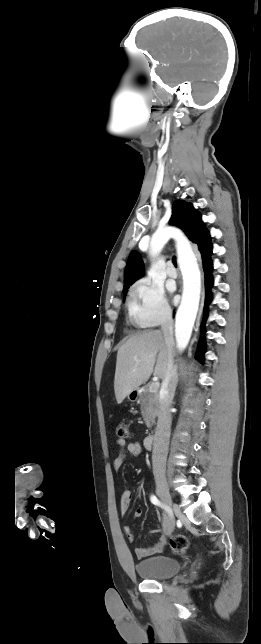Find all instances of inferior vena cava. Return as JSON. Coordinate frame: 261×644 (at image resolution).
I'll return each instance as SVG.
<instances>
[{
  "instance_id": "602c4592",
  "label": "inferior vena cava",
  "mask_w": 261,
  "mask_h": 644,
  "mask_svg": "<svg viewBox=\"0 0 261 644\" xmlns=\"http://www.w3.org/2000/svg\"><path fill=\"white\" fill-rule=\"evenodd\" d=\"M162 332L167 346L170 348L167 371L163 379L158 411V421L155 430L152 452V465L154 474H165L166 459L171 431L170 408L177 385V366L173 362V318L170 311L163 314L161 324Z\"/></svg>"
}]
</instances>
